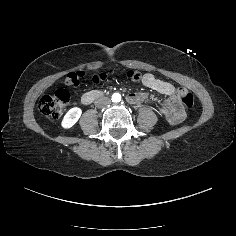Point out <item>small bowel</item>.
I'll return each instance as SVG.
<instances>
[{
    "mask_svg": "<svg viewBox=\"0 0 236 236\" xmlns=\"http://www.w3.org/2000/svg\"><path fill=\"white\" fill-rule=\"evenodd\" d=\"M145 85L149 86V87H155L156 83L153 82L149 77L145 78L144 80Z\"/></svg>",
    "mask_w": 236,
    "mask_h": 236,
    "instance_id": "small-bowel-1",
    "label": "small bowel"
}]
</instances>
